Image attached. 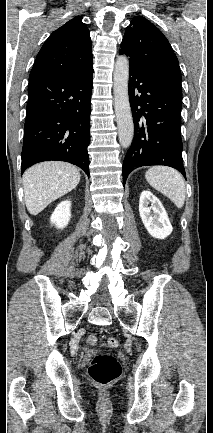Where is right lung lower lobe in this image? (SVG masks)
I'll return each instance as SVG.
<instances>
[{"instance_id": "1", "label": "right lung lower lobe", "mask_w": 213, "mask_h": 433, "mask_svg": "<svg viewBox=\"0 0 213 433\" xmlns=\"http://www.w3.org/2000/svg\"><path fill=\"white\" fill-rule=\"evenodd\" d=\"M92 65L64 78L30 79L22 173L38 162L60 160L89 176Z\"/></svg>"}]
</instances>
